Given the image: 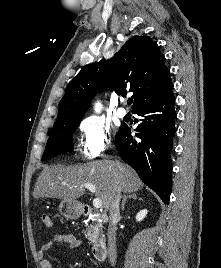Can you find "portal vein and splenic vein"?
<instances>
[{"mask_svg":"<svg viewBox=\"0 0 221 268\" xmlns=\"http://www.w3.org/2000/svg\"><path fill=\"white\" fill-rule=\"evenodd\" d=\"M80 187H84L86 189H88L91 192H95L96 191V187L95 185L91 184V183H84L81 184ZM93 206L97 209L102 207V200L100 198H95L93 200Z\"/></svg>","mask_w":221,"mask_h":268,"instance_id":"18ae733b","label":"portal vein and splenic vein"}]
</instances>
